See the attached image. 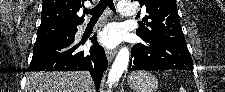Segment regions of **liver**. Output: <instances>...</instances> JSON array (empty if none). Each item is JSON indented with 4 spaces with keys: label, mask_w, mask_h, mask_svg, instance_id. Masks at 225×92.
Listing matches in <instances>:
<instances>
[{
    "label": "liver",
    "mask_w": 225,
    "mask_h": 92,
    "mask_svg": "<svg viewBox=\"0 0 225 92\" xmlns=\"http://www.w3.org/2000/svg\"><path fill=\"white\" fill-rule=\"evenodd\" d=\"M26 92H94L91 75L86 71L31 72Z\"/></svg>",
    "instance_id": "1"
}]
</instances>
